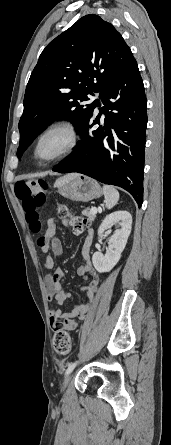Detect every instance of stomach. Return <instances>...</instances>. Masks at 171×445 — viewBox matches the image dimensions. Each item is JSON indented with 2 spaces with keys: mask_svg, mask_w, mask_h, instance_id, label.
<instances>
[{
  "mask_svg": "<svg viewBox=\"0 0 171 445\" xmlns=\"http://www.w3.org/2000/svg\"><path fill=\"white\" fill-rule=\"evenodd\" d=\"M55 186L60 195L72 201L88 202L102 195V189L99 184L83 175H77L74 178H60Z\"/></svg>",
  "mask_w": 171,
  "mask_h": 445,
  "instance_id": "1",
  "label": "stomach"
}]
</instances>
